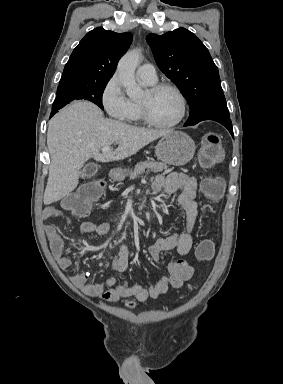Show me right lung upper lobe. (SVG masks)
Returning <instances> with one entry per match:
<instances>
[{
  "instance_id": "obj_1",
  "label": "right lung upper lobe",
  "mask_w": 283,
  "mask_h": 384,
  "mask_svg": "<svg viewBox=\"0 0 283 384\" xmlns=\"http://www.w3.org/2000/svg\"><path fill=\"white\" fill-rule=\"evenodd\" d=\"M131 42L128 32L115 33L101 27L88 32L66 63L59 86L108 82Z\"/></svg>"
}]
</instances>
